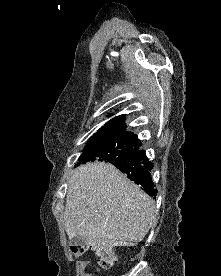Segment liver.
I'll return each mask as SVG.
<instances>
[{"label":"liver","mask_w":221,"mask_h":276,"mask_svg":"<svg viewBox=\"0 0 221 276\" xmlns=\"http://www.w3.org/2000/svg\"><path fill=\"white\" fill-rule=\"evenodd\" d=\"M155 221L154 201L116 167L89 163L71 173L64 211L70 238L96 250L133 246Z\"/></svg>","instance_id":"1"}]
</instances>
